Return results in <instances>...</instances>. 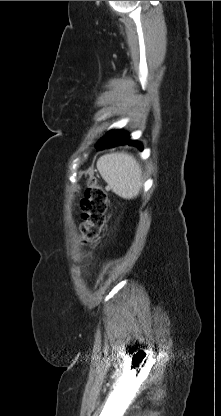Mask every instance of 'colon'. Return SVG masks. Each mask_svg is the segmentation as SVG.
Wrapping results in <instances>:
<instances>
[{"instance_id": "1", "label": "colon", "mask_w": 221, "mask_h": 416, "mask_svg": "<svg viewBox=\"0 0 221 416\" xmlns=\"http://www.w3.org/2000/svg\"><path fill=\"white\" fill-rule=\"evenodd\" d=\"M81 208V235L85 242H93L98 239L105 227L108 211L107 194L95 178L88 180Z\"/></svg>"}]
</instances>
